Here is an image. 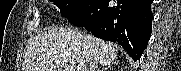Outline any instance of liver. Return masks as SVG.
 <instances>
[{"label": "liver", "instance_id": "1", "mask_svg": "<svg viewBox=\"0 0 181 71\" xmlns=\"http://www.w3.org/2000/svg\"><path fill=\"white\" fill-rule=\"evenodd\" d=\"M117 52L110 43L82 34L76 29L54 28L35 36L29 44L23 71H88L94 59L111 65Z\"/></svg>", "mask_w": 181, "mask_h": 71}]
</instances>
